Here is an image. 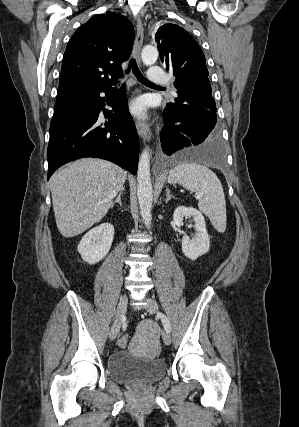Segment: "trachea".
I'll list each match as a JSON object with an SVG mask.
<instances>
[{"instance_id":"obj_1","label":"trachea","mask_w":299,"mask_h":427,"mask_svg":"<svg viewBox=\"0 0 299 427\" xmlns=\"http://www.w3.org/2000/svg\"><path fill=\"white\" fill-rule=\"evenodd\" d=\"M130 69H132V72L134 73V75L137 77V79L143 83V84H153L152 82H150L148 79H146L140 72V70L138 69V66L136 64L135 59H131L129 62V68L127 69L126 73H128L130 71Z\"/></svg>"}]
</instances>
